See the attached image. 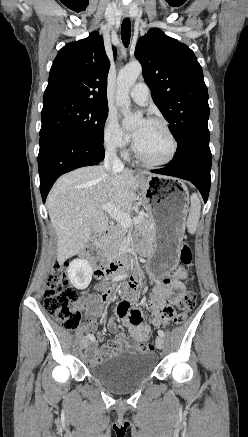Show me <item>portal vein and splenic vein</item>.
Here are the masks:
<instances>
[{"instance_id":"1","label":"portal vein and splenic vein","mask_w":248,"mask_h":437,"mask_svg":"<svg viewBox=\"0 0 248 437\" xmlns=\"http://www.w3.org/2000/svg\"><path fill=\"white\" fill-rule=\"evenodd\" d=\"M101 209L103 211L108 212V214L115 219L116 221H118L124 228H129L133 223L134 224H138L141 221V218L144 215V212H140L139 216L131 219V217L129 216V214H126L123 211L118 210L114 204H112L111 202H108L107 204H104L101 206Z\"/></svg>"}]
</instances>
